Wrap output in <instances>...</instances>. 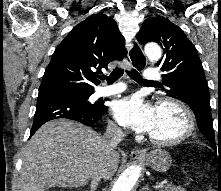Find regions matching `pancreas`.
Returning <instances> with one entry per match:
<instances>
[{
    "label": "pancreas",
    "mask_w": 221,
    "mask_h": 191,
    "mask_svg": "<svg viewBox=\"0 0 221 191\" xmlns=\"http://www.w3.org/2000/svg\"><path fill=\"white\" fill-rule=\"evenodd\" d=\"M161 191H185V189L180 186H174L172 184H165L161 186Z\"/></svg>",
    "instance_id": "cf45deb5"
}]
</instances>
